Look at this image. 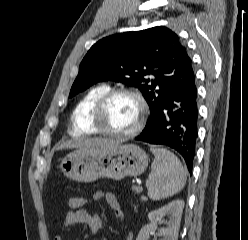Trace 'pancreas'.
<instances>
[{
    "instance_id": "1",
    "label": "pancreas",
    "mask_w": 248,
    "mask_h": 240,
    "mask_svg": "<svg viewBox=\"0 0 248 240\" xmlns=\"http://www.w3.org/2000/svg\"><path fill=\"white\" fill-rule=\"evenodd\" d=\"M133 190L134 191H136V193H140L142 190H139V189H137V187H133ZM141 199L143 200V201H145L146 200V197H141Z\"/></svg>"
}]
</instances>
